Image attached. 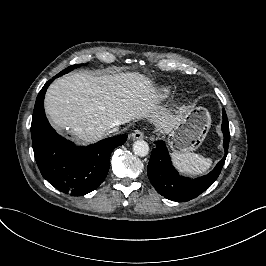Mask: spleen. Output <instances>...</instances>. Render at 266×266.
Wrapping results in <instances>:
<instances>
[{
	"mask_svg": "<svg viewBox=\"0 0 266 266\" xmlns=\"http://www.w3.org/2000/svg\"><path fill=\"white\" fill-rule=\"evenodd\" d=\"M173 159L179 169L187 172L202 173L209 168L211 159L197 153H173Z\"/></svg>",
	"mask_w": 266,
	"mask_h": 266,
	"instance_id": "3e777b00",
	"label": "spleen"
}]
</instances>
